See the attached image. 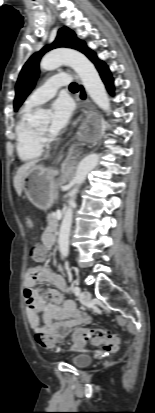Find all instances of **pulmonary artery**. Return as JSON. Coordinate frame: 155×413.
Returning a JSON list of instances; mask_svg holds the SVG:
<instances>
[{
	"mask_svg": "<svg viewBox=\"0 0 155 413\" xmlns=\"http://www.w3.org/2000/svg\"><path fill=\"white\" fill-rule=\"evenodd\" d=\"M71 76L69 74L60 73L49 77L43 85L37 88L27 99L26 106L33 108L39 106L54 97L61 86L69 84Z\"/></svg>",
	"mask_w": 155,
	"mask_h": 413,
	"instance_id": "pulmonary-artery-1",
	"label": "pulmonary artery"
}]
</instances>
